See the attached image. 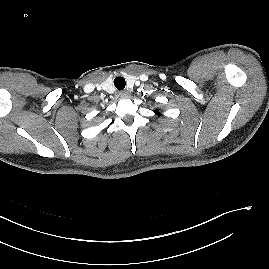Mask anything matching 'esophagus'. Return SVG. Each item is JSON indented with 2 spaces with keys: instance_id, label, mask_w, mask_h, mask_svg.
Returning <instances> with one entry per match:
<instances>
[{
  "instance_id": "1",
  "label": "esophagus",
  "mask_w": 269,
  "mask_h": 269,
  "mask_svg": "<svg viewBox=\"0 0 269 269\" xmlns=\"http://www.w3.org/2000/svg\"><path fill=\"white\" fill-rule=\"evenodd\" d=\"M119 97L122 98V99L129 98L130 97V93L128 91H121L119 93Z\"/></svg>"
}]
</instances>
